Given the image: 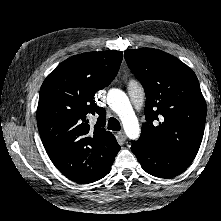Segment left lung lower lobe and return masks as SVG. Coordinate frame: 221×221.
Instances as JSON below:
<instances>
[{"label": "left lung lower lobe", "mask_w": 221, "mask_h": 221, "mask_svg": "<svg viewBox=\"0 0 221 221\" xmlns=\"http://www.w3.org/2000/svg\"><path fill=\"white\" fill-rule=\"evenodd\" d=\"M132 152L136 155L144 171L159 177L172 178L185 171L191 160L178 156L162 148L139 147L132 142Z\"/></svg>", "instance_id": "1"}]
</instances>
